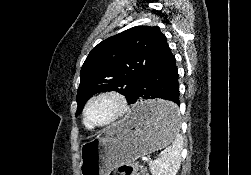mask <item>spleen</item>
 <instances>
[{
    "label": "spleen",
    "instance_id": "1",
    "mask_svg": "<svg viewBox=\"0 0 251 175\" xmlns=\"http://www.w3.org/2000/svg\"><path fill=\"white\" fill-rule=\"evenodd\" d=\"M169 115L174 117V121H170L173 129V143L160 153L158 159L149 163L152 175H176L179 169L183 137L181 133H178L180 123L178 111H176L175 107L173 109L170 107Z\"/></svg>",
    "mask_w": 251,
    "mask_h": 175
}]
</instances>
